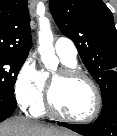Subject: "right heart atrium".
Returning a JSON list of instances; mask_svg holds the SVG:
<instances>
[{"label": "right heart atrium", "mask_w": 117, "mask_h": 136, "mask_svg": "<svg viewBox=\"0 0 117 136\" xmlns=\"http://www.w3.org/2000/svg\"><path fill=\"white\" fill-rule=\"evenodd\" d=\"M44 80L32 58H28L20 67L14 81V95L22 108L33 107L41 98Z\"/></svg>", "instance_id": "obj_1"}]
</instances>
